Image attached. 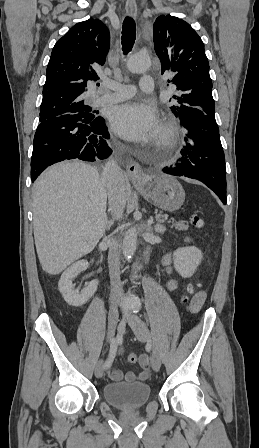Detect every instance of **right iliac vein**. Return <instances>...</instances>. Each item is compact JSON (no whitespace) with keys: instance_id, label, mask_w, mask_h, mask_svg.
Listing matches in <instances>:
<instances>
[{"instance_id":"obj_1","label":"right iliac vein","mask_w":259,"mask_h":448,"mask_svg":"<svg viewBox=\"0 0 259 448\" xmlns=\"http://www.w3.org/2000/svg\"><path fill=\"white\" fill-rule=\"evenodd\" d=\"M118 306H119L118 301H112L110 303L108 313V332H107L108 341H111V339L113 338L118 323V316H119ZM103 370H104L103 361L100 360L95 367V376L97 378H101L103 375Z\"/></svg>"}]
</instances>
